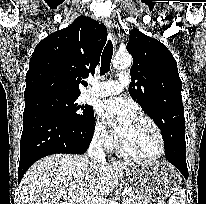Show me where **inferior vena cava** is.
<instances>
[{
	"label": "inferior vena cava",
	"instance_id": "inferior-vena-cava-1",
	"mask_svg": "<svg viewBox=\"0 0 206 204\" xmlns=\"http://www.w3.org/2000/svg\"><path fill=\"white\" fill-rule=\"evenodd\" d=\"M104 139V135H95L88 148V157L91 158L94 166L96 163L105 161V153L102 149ZM86 204H102L101 197L94 193L87 198Z\"/></svg>",
	"mask_w": 206,
	"mask_h": 204
}]
</instances>
